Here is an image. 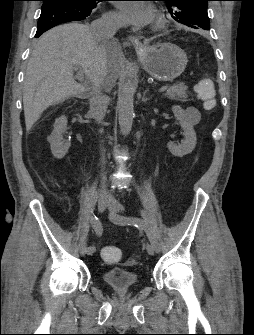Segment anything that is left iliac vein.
I'll return each instance as SVG.
<instances>
[{"label":"left iliac vein","mask_w":254,"mask_h":335,"mask_svg":"<svg viewBox=\"0 0 254 335\" xmlns=\"http://www.w3.org/2000/svg\"><path fill=\"white\" fill-rule=\"evenodd\" d=\"M108 209L110 212V219L112 222L121 224V225H126L127 223H121L116 220V215H118V212L121 210V205L116 201V200H110L108 204ZM147 252L149 255H154L155 249L154 247L148 243L146 246Z\"/></svg>","instance_id":"4c4485c4"}]
</instances>
